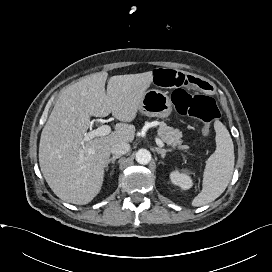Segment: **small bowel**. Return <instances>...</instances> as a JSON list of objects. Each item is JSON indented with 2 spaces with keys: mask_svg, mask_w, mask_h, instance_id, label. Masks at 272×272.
Wrapping results in <instances>:
<instances>
[{
  "mask_svg": "<svg viewBox=\"0 0 272 272\" xmlns=\"http://www.w3.org/2000/svg\"><path fill=\"white\" fill-rule=\"evenodd\" d=\"M154 81L164 88L188 87L199 90H209L211 88L208 82L174 69H156L154 71Z\"/></svg>",
  "mask_w": 272,
  "mask_h": 272,
  "instance_id": "1",
  "label": "small bowel"
}]
</instances>
